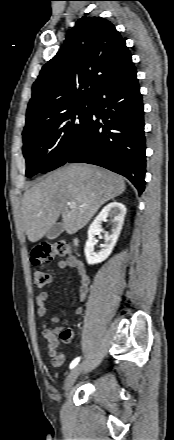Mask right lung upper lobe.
<instances>
[{
	"label": "right lung upper lobe",
	"instance_id": "right-lung-upper-lobe-1",
	"mask_svg": "<svg viewBox=\"0 0 174 440\" xmlns=\"http://www.w3.org/2000/svg\"><path fill=\"white\" fill-rule=\"evenodd\" d=\"M130 61L125 40L110 21L82 17L33 84L24 131L90 99L106 78Z\"/></svg>",
	"mask_w": 174,
	"mask_h": 440
}]
</instances>
